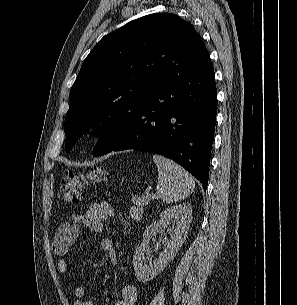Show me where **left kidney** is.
Instances as JSON below:
<instances>
[{"label":"left kidney","mask_w":297,"mask_h":305,"mask_svg":"<svg viewBox=\"0 0 297 305\" xmlns=\"http://www.w3.org/2000/svg\"><path fill=\"white\" fill-rule=\"evenodd\" d=\"M191 220V204L183 203L162 211L159 220L146 228L143 241L136 247L133 256L135 275L140 282H147L155 278L176 256L188 234ZM171 222L175 227L171 229L173 234L170 240L160 239L155 249L162 243L163 251L159 253L157 259H148L145 253L149 248L150 240L153 239L158 228H167Z\"/></svg>","instance_id":"5707ae66"}]
</instances>
